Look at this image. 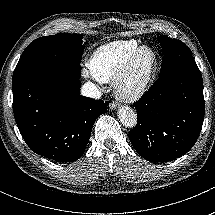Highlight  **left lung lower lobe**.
Returning <instances> with one entry per match:
<instances>
[{"label": "left lung lower lobe", "instance_id": "1", "mask_svg": "<svg viewBox=\"0 0 215 215\" xmlns=\"http://www.w3.org/2000/svg\"><path fill=\"white\" fill-rule=\"evenodd\" d=\"M134 106L138 119L129 139L138 154L150 162L181 157L197 141L204 120L203 81L197 64L160 76Z\"/></svg>", "mask_w": 215, "mask_h": 215}]
</instances>
